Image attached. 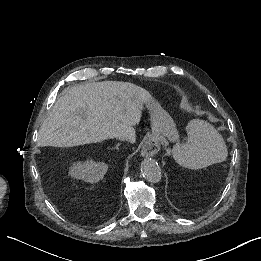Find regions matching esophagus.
<instances>
[{
    "instance_id": "esophagus-1",
    "label": "esophagus",
    "mask_w": 261,
    "mask_h": 261,
    "mask_svg": "<svg viewBox=\"0 0 261 261\" xmlns=\"http://www.w3.org/2000/svg\"><path fill=\"white\" fill-rule=\"evenodd\" d=\"M160 150L158 140L155 138H149L141 149V156L144 158L153 157Z\"/></svg>"
}]
</instances>
